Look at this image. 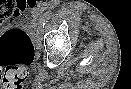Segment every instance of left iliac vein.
<instances>
[{
	"mask_svg": "<svg viewBox=\"0 0 131 89\" xmlns=\"http://www.w3.org/2000/svg\"><path fill=\"white\" fill-rule=\"evenodd\" d=\"M42 29H43L42 26H39L38 30H39V31H42Z\"/></svg>",
	"mask_w": 131,
	"mask_h": 89,
	"instance_id": "1",
	"label": "left iliac vein"
}]
</instances>
